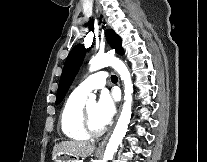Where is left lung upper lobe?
<instances>
[{
  "instance_id": "left-lung-upper-lobe-1",
  "label": "left lung upper lobe",
  "mask_w": 207,
  "mask_h": 162,
  "mask_svg": "<svg viewBox=\"0 0 207 162\" xmlns=\"http://www.w3.org/2000/svg\"><path fill=\"white\" fill-rule=\"evenodd\" d=\"M106 37L111 46L116 50L118 54H123V48L121 47L120 37L111 29L106 31ZM85 55V48L82 44L76 45L71 52L69 53L64 69L61 75L56 104H59L67 93L75 75L78 72V69L83 61Z\"/></svg>"
}]
</instances>
